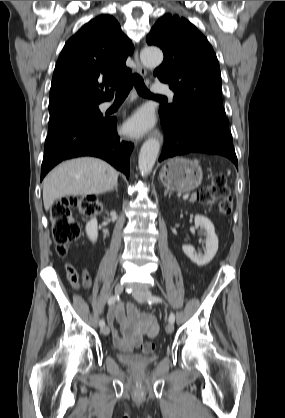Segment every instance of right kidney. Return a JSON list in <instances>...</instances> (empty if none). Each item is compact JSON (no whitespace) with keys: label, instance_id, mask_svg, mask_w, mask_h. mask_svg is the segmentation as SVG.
Instances as JSON below:
<instances>
[{"label":"right kidney","instance_id":"1","mask_svg":"<svg viewBox=\"0 0 285 418\" xmlns=\"http://www.w3.org/2000/svg\"><path fill=\"white\" fill-rule=\"evenodd\" d=\"M86 234L88 238L95 243L98 238V228H97V219L92 218L87 224H86Z\"/></svg>","mask_w":285,"mask_h":418}]
</instances>
